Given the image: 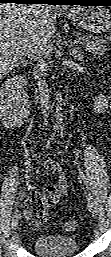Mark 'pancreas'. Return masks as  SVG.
<instances>
[{"label": "pancreas", "instance_id": "cf45deb5", "mask_svg": "<svg viewBox=\"0 0 111 257\" xmlns=\"http://www.w3.org/2000/svg\"><path fill=\"white\" fill-rule=\"evenodd\" d=\"M85 49L96 55H104L108 51L107 45L110 43L108 39L93 37L91 35L81 38Z\"/></svg>", "mask_w": 111, "mask_h": 257}]
</instances>
